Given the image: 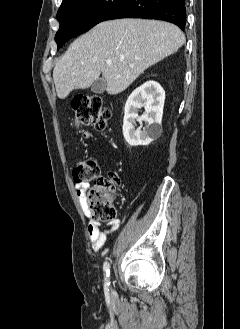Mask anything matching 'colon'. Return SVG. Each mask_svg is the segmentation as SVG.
Listing matches in <instances>:
<instances>
[{
  "label": "colon",
  "mask_w": 240,
  "mask_h": 329,
  "mask_svg": "<svg viewBox=\"0 0 240 329\" xmlns=\"http://www.w3.org/2000/svg\"><path fill=\"white\" fill-rule=\"evenodd\" d=\"M72 108L75 111L74 125L77 129L94 126L99 131L106 130L109 111L100 96L76 97ZM72 176L76 184L94 181V185L86 193V205L94 220L103 223L113 221L116 218L114 201L119 177L115 173L100 176L98 163L91 156L78 161Z\"/></svg>",
  "instance_id": "5ec220e1"
}]
</instances>
